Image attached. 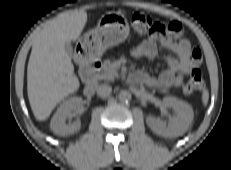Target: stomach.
Masks as SVG:
<instances>
[{"instance_id":"0dacf381","label":"stomach","mask_w":231,"mask_h":170,"mask_svg":"<svg viewBox=\"0 0 231 170\" xmlns=\"http://www.w3.org/2000/svg\"><path fill=\"white\" fill-rule=\"evenodd\" d=\"M129 35V24L126 18L117 13L102 15L97 26L84 34L81 46L100 57L109 47L116 46Z\"/></svg>"}]
</instances>
